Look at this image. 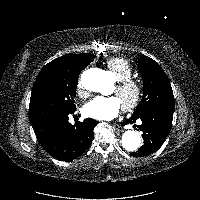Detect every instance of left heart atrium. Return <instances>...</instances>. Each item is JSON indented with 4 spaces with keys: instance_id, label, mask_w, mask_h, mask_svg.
<instances>
[{
    "instance_id": "left-heart-atrium-1",
    "label": "left heart atrium",
    "mask_w": 200,
    "mask_h": 200,
    "mask_svg": "<svg viewBox=\"0 0 200 200\" xmlns=\"http://www.w3.org/2000/svg\"><path fill=\"white\" fill-rule=\"evenodd\" d=\"M122 109V103L116 96L95 97L84 107L87 116L97 120H111L117 117Z\"/></svg>"
}]
</instances>
